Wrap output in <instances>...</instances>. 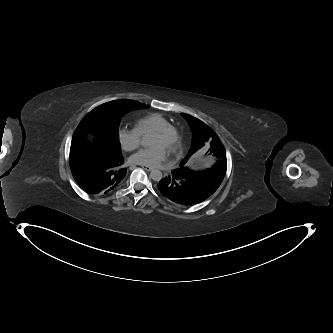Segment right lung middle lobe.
I'll use <instances>...</instances> for the list:
<instances>
[{
  "mask_svg": "<svg viewBox=\"0 0 333 333\" xmlns=\"http://www.w3.org/2000/svg\"><path fill=\"white\" fill-rule=\"evenodd\" d=\"M147 107V105L131 100H115L104 103L83 118L72 141H83L85 133L94 130L99 135V147L110 154L121 155L118 140L121 117L129 111Z\"/></svg>",
  "mask_w": 333,
  "mask_h": 333,
  "instance_id": "right-lung-middle-lobe-1",
  "label": "right lung middle lobe"
}]
</instances>
